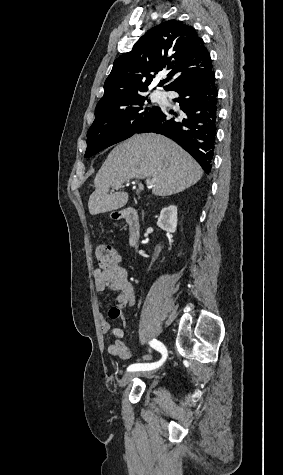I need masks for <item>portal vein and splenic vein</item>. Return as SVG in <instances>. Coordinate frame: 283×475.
Segmentation results:
<instances>
[{
	"mask_svg": "<svg viewBox=\"0 0 283 475\" xmlns=\"http://www.w3.org/2000/svg\"><path fill=\"white\" fill-rule=\"evenodd\" d=\"M146 182H147L148 186H152V184H150L151 180H146ZM139 188H140V190H143L142 184H139Z\"/></svg>",
	"mask_w": 283,
	"mask_h": 475,
	"instance_id": "obj_1",
	"label": "portal vein and splenic vein"
}]
</instances>
